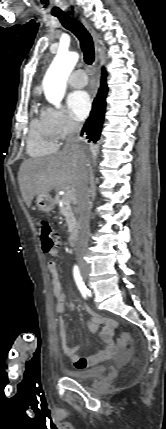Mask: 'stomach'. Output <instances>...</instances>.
<instances>
[{"instance_id": "obj_1", "label": "stomach", "mask_w": 166, "mask_h": 429, "mask_svg": "<svg viewBox=\"0 0 166 429\" xmlns=\"http://www.w3.org/2000/svg\"><path fill=\"white\" fill-rule=\"evenodd\" d=\"M36 206L41 212L49 213L54 208V200L49 194H39L36 198Z\"/></svg>"}]
</instances>
